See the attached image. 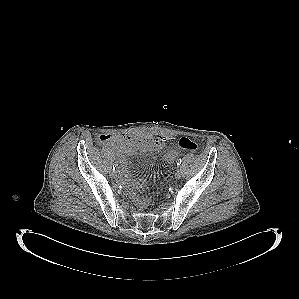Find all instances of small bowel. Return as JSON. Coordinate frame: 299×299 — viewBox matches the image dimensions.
Here are the masks:
<instances>
[{"instance_id":"1","label":"small bowel","mask_w":299,"mask_h":299,"mask_svg":"<svg viewBox=\"0 0 299 299\" xmlns=\"http://www.w3.org/2000/svg\"><path fill=\"white\" fill-rule=\"evenodd\" d=\"M165 137H153L150 135H125V134H102L99 136V142L111 147L118 155L123 180L134 188H142L145 184L144 179H134L131 176V165L127 160L138 152H147L160 150L165 146ZM179 152L175 149L168 150L163 155V161L167 164H173L177 159Z\"/></svg>"}]
</instances>
